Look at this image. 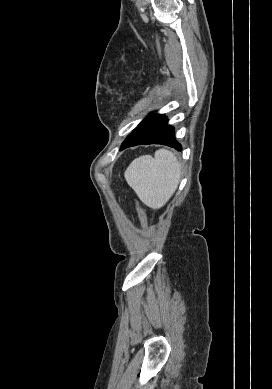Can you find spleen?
I'll use <instances>...</instances> for the list:
<instances>
[{"instance_id":"3e777b00","label":"spleen","mask_w":272,"mask_h":389,"mask_svg":"<svg viewBox=\"0 0 272 389\" xmlns=\"http://www.w3.org/2000/svg\"><path fill=\"white\" fill-rule=\"evenodd\" d=\"M124 176L145 205L158 209L166 204L177 189L181 165L172 152L159 149L154 158L143 155L132 161Z\"/></svg>"}]
</instances>
